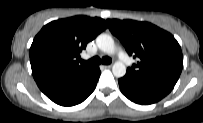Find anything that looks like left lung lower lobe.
Instances as JSON below:
<instances>
[{
    "instance_id": "obj_1",
    "label": "left lung lower lobe",
    "mask_w": 203,
    "mask_h": 123,
    "mask_svg": "<svg viewBox=\"0 0 203 123\" xmlns=\"http://www.w3.org/2000/svg\"><path fill=\"white\" fill-rule=\"evenodd\" d=\"M118 82L121 92L129 100L141 105L156 103L173 89L171 85L151 79L140 78L127 72Z\"/></svg>"
}]
</instances>
